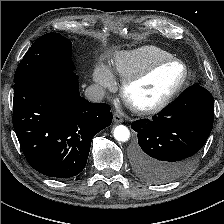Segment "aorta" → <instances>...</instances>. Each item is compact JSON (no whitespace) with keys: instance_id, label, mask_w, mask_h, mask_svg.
<instances>
[{"instance_id":"1","label":"aorta","mask_w":224,"mask_h":224,"mask_svg":"<svg viewBox=\"0 0 224 224\" xmlns=\"http://www.w3.org/2000/svg\"><path fill=\"white\" fill-rule=\"evenodd\" d=\"M113 136L117 141L126 142L130 137V131L126 126L118 125L114 128Z\"/></svg>"}]
</instances>
